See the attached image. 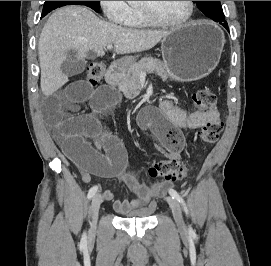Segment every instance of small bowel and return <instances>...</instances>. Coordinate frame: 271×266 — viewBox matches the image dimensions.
<instances>
[{"instance_id":"c3829d8e","label":"small bowel","mask_w":271,"mask_h":266,"mask_svg":"<svg viewBox=\"0 0 271 266\" xmlns=\"http://www.w3.org/2000/svg\"><path fill=\"white\" fill-rule=\"evenodd\" d=\"M83 67V60L72 59L63 65V73L67 78L73 77ZM84 101L91 103L92 112L78 117H65L67 109ZM118 101L119 95L111 89L103 86L94 91L85 81L78 80L66 83L51 94L43 109L46 121L53 128L55 139L76 164L84 182L90 183L92 176L118 178L136 195L130 200L114 202V209L126 214L148 205L155 196L164 194L172 182L145 184L136 176L125 172L128 164L127 151L102 120V114ZM159 112L160 116L156 117L153 109L145 110L140 116V126L153 131L168 158H176L185 145L184 131L202 128L207 117L199 111L186 113L170 100L160 103ZM86 139H92L94 143L91 144ZM103 197L110 201L113 193L106 190Z\"/></svg>"}]
</instances>
